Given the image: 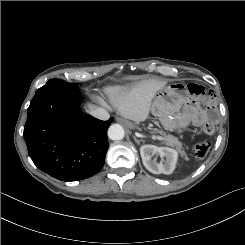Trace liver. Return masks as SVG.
Returning <instances> with one entry per match:
<instances>
[{
    "instance_id": "liver-1",
    "label": "liver",
    "mask_w": 245,
    "mask_h": 245,
    "mask_svg": "<svg viewBox=\"0 0 245 245\" xmlns=\"http://www.w3.org/2000/svg\"><path fill=\"white\" fill-rule=\"evenodd\" d=\"M164 85L165 82L163 81L150 79L137 82L130 88L109 87L106 92L122 117L135 122H142L149 115L153 98Z\"/></svg>"
}]
</instances>
